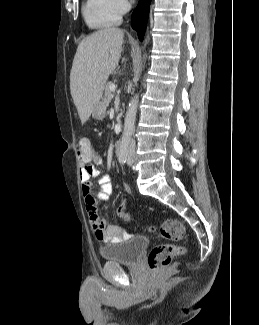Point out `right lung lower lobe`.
I'll use <instances>...</instances> for the list:
<instances>
[{
  "mask_svg": "<svg viewBox=\"0 0 259 325\" xmlns=\"http://www.w3.org/2000/svg\"><path fill=\"white\" fill-rule=\"evenodd\" d=\"M151 0H140L131 18L132 28L137 30L140 40L143 39Z\"/></svg>",
  "mask_w": 259,
  "mask_h": 325,
  "instance_id": "98d812e1",
  "label": "right lung lower lobe"
}]
</instances>
